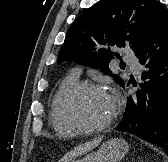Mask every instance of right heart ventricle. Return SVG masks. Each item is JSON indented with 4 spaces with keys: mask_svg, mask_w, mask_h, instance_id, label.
<instances>
[{
    "mask_svg": "<svg viewBox=\"0 0 168 162\" xmlns=\"http://www.w3.org/2000/svg\"><path fill=\"white\" fill-rule=\"evenodd\" d=\"M76 83H78V75H76L74 72L66 75L58 83L51 100L49 118L54 131L59 136L69 137L79 133L78 130L64 122L59 113V103L63 94Z\"/></svg>",
    "mask_w": 168,
    "mask_h": 162,
    "instance_id": "e07e8e85",
    "label": "right heart ventricle"
}]
</instances>
